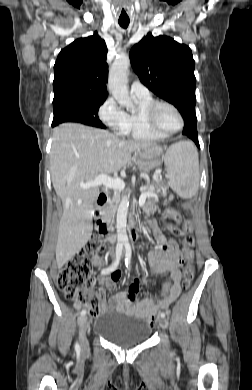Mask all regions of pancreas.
<instances>
[{
	"mask_svg": "<svg viewBox=\"0 0 252 390\" xmlns=\"http://www.w3.org/2000/svg\"><path fill=\"white\" fill-rule=\"evenodd\" d=\"M119 198V192H114L112 201L115 203L119 200ZM155 203L156 202H147L145 205H143V209L146 211L148 217L156 216V210L158 209V206Z\"/></svg>",
	"mask_w": 252,
	"mask_h": 390,
	"instance_id": "cf45deb5",
	"label": "pancreas"
}]
</instances>
